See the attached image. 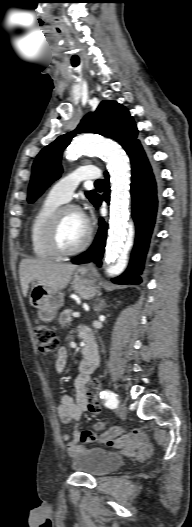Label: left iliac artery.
<instances>
[{"label": "left iliac artery", "mask_w": 192, "mask_h": 527, "mask_svg": "<svg viewBox=\"0 0 192 527\" xmlns=\"http://www.w3.org/2000/svg\"><path fill=\"white\" fill-rule=\"evenodd\" d=\"M101 398L105 400L106 407L110 409H114L118 406L119 400L117 395L108 389L101 392Z\"/></svg>", "instance_id": "44dca946"}]
</instances>
